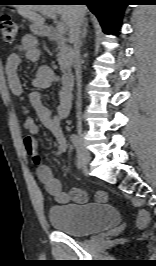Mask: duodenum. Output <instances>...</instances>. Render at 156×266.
<instances>
[{
  "label": "duodenum",
  "mask_w": 156,
  "mask_h": 266,
  "mask_svg": "<svg viewBox=\"0 0 156 266\" xmlns=\"http://www.w3.org/2000/svg\"><path fill=\"white\" fill-rule=\"evenodd\" d=\"M45 36L47 37V39L52 40V41L61 39V35L53 27L45 28ZM73 82H74V76L71 71H67L62 75V85L67 92L71 91L73 87Z\"/></svg>",
  "instance_id": "duodenum-1"
}]
</instances>
